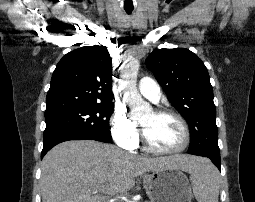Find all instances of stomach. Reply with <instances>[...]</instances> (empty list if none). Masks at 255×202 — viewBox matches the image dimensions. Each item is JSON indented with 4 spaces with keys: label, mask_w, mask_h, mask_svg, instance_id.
Listing matches in <instances>:
<instances>
[{
    "label": "stomach",
    "mask_w": 255,
    "mask_h": 202,
    "mask_svg": "<svg viewBox=\"0 0 255 202\" xmlns=\"http://www.w3.org/2000/svg\"><path fill=\"white\" fill-rule=\"evenodd\" d=\"M152 174L149 186H144L151 202H191V187L180 169L167 168Z\"/></svg>",
    "instance_id": "obj_1"
}]
</instances>
